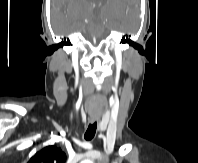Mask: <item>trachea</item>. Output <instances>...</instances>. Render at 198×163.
Listing matches in <instances>:
<instances>
[{"mask_svg": "<svg viewBox=\"0 0 198 163\" xmlns=\"http://www.w3.org/2000/svg\"><path fill=\"white\" fill-rule=\"evenodd\" d=\"M96 129H97V123L96 122H94L92 124H89L88 129L86 130V133L84 135V138L86 140H92L95 136Z\"/></svg>", "mask_w": 198, "mask_h": 163, "instance_id": "trachea-1", "label": "trachea"}]
</instances>
